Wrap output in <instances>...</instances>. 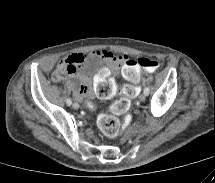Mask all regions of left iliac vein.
I'll list each match as a JSON object with an SVG mask.
<instances>
[{"mask_svg":"<svg viewBox=\"0 0 215 183\" xmlns=\"http://www.w3.org/2000/svg\"><path fill=\"white\" fill-rule=\"evenodd\" d=\"M145 98H146V95L144 93L139 96V99L141 101L145 100Z\"/></svg>","mask_w":215,"mask_h":183,"instance_id":"obj_1","label":"left iliac vein"}]
</instances>
